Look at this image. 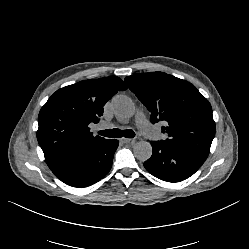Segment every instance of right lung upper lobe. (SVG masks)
<instances>
[{
    "label": "right lung upper lobe",
    "mask_w": 249,
    "mask_h": 249,
    "mask_svg": "<svg viewBox=\"0 0 249 249\" xmlns=\"http://www.w3.org/2000/svg\"><path fill=\"white\" fill-rule=\"evenodd\" d=\"M126 89L119 77L109 76L63 87L48 99L39 113L37 139L51 170L106 140L93 136L89 124L98 123L105 103Z\"/></svg>",
    "instance_id": "1"
}]
</instances>
